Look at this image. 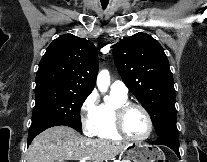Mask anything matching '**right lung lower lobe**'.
Here are the masks:
<instances>
[{"instance_id": "1", "label": "right lung lower lobe", "mask_w": 207, "mask_h": 162, "mask_svg": "<svg viewBox=\"0 0 207 162\" xmlns=\"http://www.w3.org/2000/svg\"><path fill=\"white\" fill-rule=\"evenodd\" d=\"M58 125H65L68 126L65 123L55 121V120H42L38 121L36 123H32L29 128V134H28V145L31 143V141L42 131Z\"/></svg>"}]
</instances>
